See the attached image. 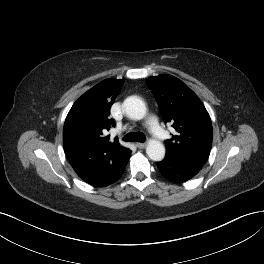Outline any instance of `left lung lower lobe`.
<instances>
[{"label":"left lung lower lobe","mask_w":264,"mask_h":264,"mask_svg":"<svg viewBox=\"0 0 264 264\" xmlns=\"http://www.w3.org/2000/svg\"><path fill=\"white\" fill-rule=\"evenodd\" d=\"M156 164L161 174L175 183L186 182L193 178L201 168L198 165L182 164L166 157Z\"/></svg>","instance_id":"1"}]
</instances>
